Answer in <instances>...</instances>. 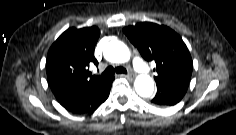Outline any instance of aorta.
Returning <instances> with one entry per match:
<instances>
[{
    "mask_svg": "<svg viewBox=\"0 0 236 135\" xmlns=\"http://www.w3.org/2000/svg\"><path fill=\"white\" fill-rule=\"evenodd\" d=\"M104 57L113 63H125L130 60L129 48L120 41H111L104 48ZM137 94L141 97H150L154 92V81L146 74L138 75L134 82Z\"/></svg>",
    "mask_w": 236,
    "mask_h": 135,
    "instance_id": "1",
    "label": "aorta"
}]
</instances>
